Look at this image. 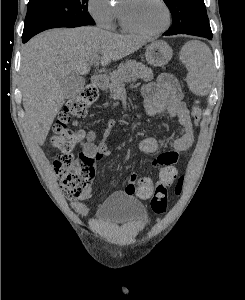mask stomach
<instances>
[{
  "label": "stomach",
  "instance_id": "0dacf381",
  "mask_svg": "<svg viewBox=\"0 0 245 300\" xmlns=\"http://www.w3.org/2000/svg\"><path fill=\"white\" fill-rule=\"evenodd\" d=\"M171 47L162 40L153 41L147 46L145 57L148 64L156 67L166 65L172 58Z\"/></svg>",
  "mask_w": 245,
  "mask_h": 300
}]
</instances>
